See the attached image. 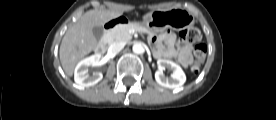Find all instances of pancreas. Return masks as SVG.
<instances>
[{
	"label": "pancreas",
	"mask_w": 276,
	"mask_h": 120,
	"mask_svg": "<svg viewBox=\"0 0 276 120\" xmlns=\"http://www.w3.org/2000/svg\"><path fill=\"white\" fill-rule=\"evenodd\" d=\"M130 29H135L139 32L150 33L148 29L141 26L139 23H129L126 25H118L108 32L107 38L108 43L129 41L132 38V35L129 33Z\"/></svg>",
	"instance_id": "pancreas-1"
}]
</instances>
